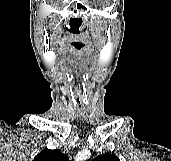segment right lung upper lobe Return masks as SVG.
<instances>
[{
	"label": "right lung upper lobe",
	"instance_id": "obj_1",
	"mask_svg": "<svg viewBox=\"0 0 171 161\" xmlns=\"http://www.w3.org/2000/svg\"><path fill=\"white\" fill-rule=\"evenodd\" d=\"M33 161H69V159L58 149H46L35 156Z\"/></svg>",
	"mask_w": 171,
	"mask_h": 161
}]
</instances>
